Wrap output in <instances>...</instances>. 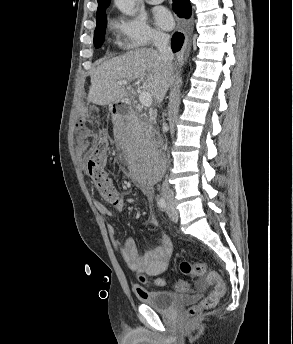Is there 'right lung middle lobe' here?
Returning <instances> with one entry per match:
<instances>
[{"label": "right lung middle lobe", "instance_id": "dd1d6c3e", "mask_svg": "<svg viewBox=\"0 0 293 344\" xmlns=\"http://www.w3.org/2000/svg\"><path fill=\"white\" fill-rule=\"evenodd\" d=\"M105 11L106 8L96 15L97 25L94 32V46L96 48L100 47L104 41L105 29L107 26V17Z\"/></svg>", "mask_w": 293, "mask_h": 344}]
</instances>
